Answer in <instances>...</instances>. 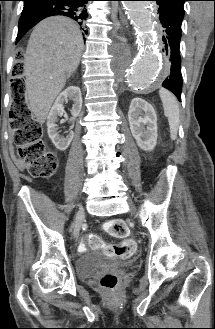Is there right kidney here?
I'll return each instance as SVG.
<instances>
[{
  "instance_id": "obj_1",
  "label": "right kidney",
  "mask_w": 215,
  "mask_h": 329,
  "mask_svg": "<svg viewBox=\"0 0 215 329\" xmlns=\"http://www.w3.org/2000/svg\"><path fill=\"white\" fill-rule=\"evenodd\" d=\"M68 100H72L74 102L71 110L72 118L70 119V121L73 122L79 115L82 108L81 90L77 86H69L59 94L47 117L48 136L52 140L55 147L60 151L66 150L74 137V133L72 131H70L66 137L61 136L58 132L56 124L57 117L62 116L65 112L63 104Z\"/></svg>"
}]
</instances>
